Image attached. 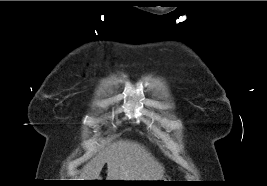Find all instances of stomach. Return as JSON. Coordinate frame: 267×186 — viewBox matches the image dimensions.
<instances>
[{"label": "stomach", "instance_id": "stomach-1", "mask_svg": "<svg viewBox=\"0 0 267 186\" xmlns=\"http://www.w3.org/2000/svg\"><path fill=\"white\" fill-rule=\"evenodd\" d=\"M157 181H167V180H166V177H163L162 179L157 180Z\"/></svg>", "mask_w": 267, "mask_h": 186}]
</instances>
